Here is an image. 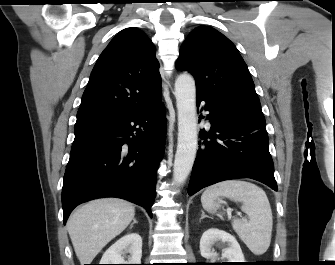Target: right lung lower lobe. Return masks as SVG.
<instances>
[{
  "instance_id": "obj_1",
  "label": "right lung lower lobe",
  "mask_w": 335,
  "mask_h": 265,
  "mask_svg": "<svg viewBox=\"0 0 335 265\" xmlns=\"http://www.w3.org/2000/svg\"><path fill=\"white\" fill-rule=\"evenodd\" d=\"M74 133L62 188L64 224L77 205L101 197L129 200L152 216L166 137L161 99L145 109L75 127Z\"/></svg>"
}]
</instances>
